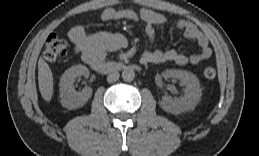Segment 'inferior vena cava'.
Masks as SVG:
<instances>
[{
  "instance_id": "1",
  "label": "inferior vena cava",
  "mask_w": 259,
  "mask_h": 156,
  "mask_svg": "<svg viewBox=\"0 0 259 156\" xmlns=\"http://www.w3.org/2000/svg\"><path fill=\"white\" fill-rule=\"evenodd\" d=\"M119 76H120L119 72L113 71V72H111V73L108 75L107 81H108L109 83L116 82V81L119 79Z\"/></svg>"
}]
</instances>
